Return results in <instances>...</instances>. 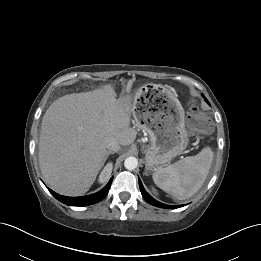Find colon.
<instances>
[{
    "label": "colon",
    "instance_id": "5ec220e1",
    "mask_svg": "<svg viewBox=\"0 0 261 261\" xmlns=\"http://www.w3.org/2000/svg\"><path fill=\"white\" fill-rule=\"evenodd\" d=\"M186 124L192 134H203L210 129V122L207 116L194 101L189 103Z\"/></svg>",
    "mask_w": 261,
    "mask_h": 261
}]
</instances>
